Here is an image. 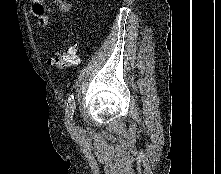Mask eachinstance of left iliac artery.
I'll return each instance as SVG.
<instances>
[{
	"instance_id": "1",
	"label": "left iliac artery",
	"mask_w": 221,
	"mask_h": 174,
	"mask_svg": "<svg viewBox=\"0 0 221 174\" xmlns=\"http://www.w3.org/2000/svg\"><path fill=\"white\" fill-rule=\"evenodd\" d=\"M75 96L74 93H70L67 105H66V119L71 121L73 119L74 111H75Z\"/></svg>"
}]
</instances>
